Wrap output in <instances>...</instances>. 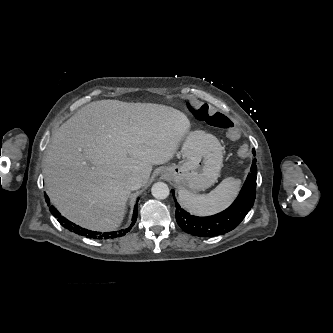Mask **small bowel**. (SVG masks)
I'll return each mask as SVG.
<instances>
[{"label":"small bowel","instance_id":"small-bowel-1","mask_svg":"<svg viewBox=\"0 0 333 333\" xmlns=\"http://www.w3.org/2000/svg\"><path fill=\"white\" fill-rule=\"evenodd\" d=\"M225 140L227 142H237L238 134L234 131H227L225 133ZM236 152L238 157H243L244 155H248L250 153V145L248 143H237L236 144Z\"/></svg>","mask_w":333,"mask_h":333}]
</instances>
